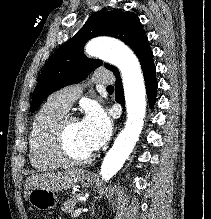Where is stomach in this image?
<instances>
[{
	"mask_svg": "<svg viewBox=\"0 0 211 219\" xmlns=\"http://www.w3.org/2000/svg\"><path fill=\"white\" fill-rule=\"evenodd\" d=\"M83 187H89L92 185L93 180L88 175H83L81 180ZM29 203L39 210H50L56 207L58 198L53 191L45 190L41 188L32 189L28 193Z\"/></svg>",
	"mask_w": 211,
	"mask_h": 219,
	"instance_id": "obj_1",
	"label": "stomach"
}]
</instances>
